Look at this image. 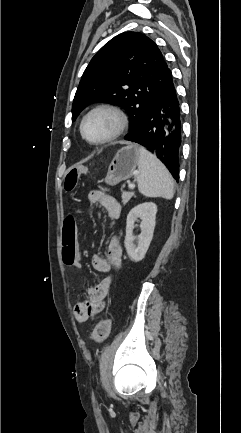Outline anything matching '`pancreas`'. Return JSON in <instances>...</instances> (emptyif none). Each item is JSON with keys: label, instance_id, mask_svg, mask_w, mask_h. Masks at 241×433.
Returning <instances> with one entry per match:
<instances>
[{"label": "pancreas", "instance_id": "obj_1", "mask_svg": "<svg viewBox=\"0 0 241 433\" xmlns=\"http://www.w3.org/2000/svg\"><path fill=\"white\" fill-rule=\"evenodd\" d=\"M133 195V192H123L121 196L123 205L127 204Z\"/></svg>", "mask_w": 241, "mask_h": 433}]
</instances>
